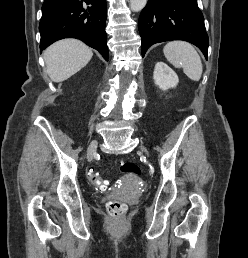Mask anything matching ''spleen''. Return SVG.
I'll use <instances>...</instances> for the list:
<instances>
[{
	"mask_svg": "<svg viewBox=\"0 0 248 258\" xmlns=\"http://www.w3.org/2000/svg\"><path fill=\"white\" fill-rule=\"evenodd\" d=\"M166 59L175 67L183 68L187 77L199 81L203 72L202 61L193 47L185 41H171L163 48Z\"/></svg>",
	"mask_w": 248,
	"mask_h": 258,
	"instance_id": "1",
	"label": "spleen"
}]
</instances>
